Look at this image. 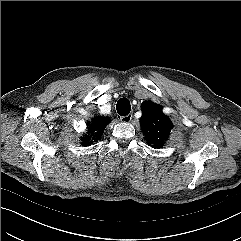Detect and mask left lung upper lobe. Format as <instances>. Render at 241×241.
Returning <instances> with one entry per match:
<instances>
[{
	"instance_id": "5c2ea615",
	"label": "left lung upper lobe",
	"mask_w": 241,
	"mask_h": 241,
	"mask_svg": "<svg viewBox=\"0 0 241 241\" xmlns=\"http://www.w3.org/2000/svg\"><path fill=\"white\" fill-rule=\"evenodd\" d=\"M140 125L146 140L154 148H161L173 127L170 119L163 114L162 107L151 101L142 105Z\"/></svg>"
}]
</instances>
